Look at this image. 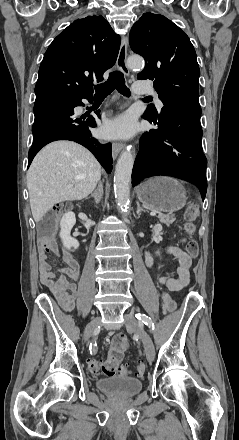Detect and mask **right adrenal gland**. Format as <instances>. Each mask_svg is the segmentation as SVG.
<instances>
[{"instance_id":"obj_1","label":"right adrenal gland","mask_w":239,"mask_h":440,"mask_svg":"<svg viewBox=\"0 0 239 440\" xmlns=\"http://www.w3.org/2000/svg\"><path fill=\"white\" fill-rule=\"evenodd\" d=\"M91 198H94L96 204H99V202H101V200L103 198V186H102L101 182H99V184L97 186V190H95V192H93V194H91Z\"/></svg>"}]
</instances>
